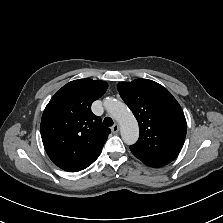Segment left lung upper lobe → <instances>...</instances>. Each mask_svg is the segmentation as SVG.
<instances>
[{"label": "left lung upper lobe", "mask_w": 223, "mask_h": 223, "mask_svg": "<svg viewBox=\"0 0 223 223\" xmlns=\"http://www.w3.org/2000/svg\"><path fill=\"white\" fill-rule=\"evenodd\" d=\"M117 88L139 124V139L130 146L133 155L152 167L173 161L183 147L187 131L176 99L162 85L148 79L120 82Z\"/></svg>", "instance_id": "1"}]
</instances>
